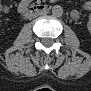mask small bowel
<instances>
[{"label":"small bowel","instance_id":"small-bowel-1","mask_svg":"<svg viewBox=\"0 0 91 91\" xmlns=\"http://www.w3.org/2000/svg\"><path fill=\"white\" fill-rule=\"evenodd\" d=\"M26 4H27V2H26L25 0L21 1V2L19 3V8H20V9H23V8L26 6ZM74 14H76V12H74Z\"/></svg>","mask_w":91,"mask_h":91}]
</instances>
